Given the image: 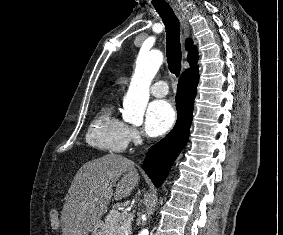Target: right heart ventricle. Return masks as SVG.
Returning <instances> with one entry per match:
<instances>
[{"label": "right heart ventricle", "mask_w": 283, "mask_h": 235, "mask_svg": "<svg viewBox=\"0 0 283 235\" xmlns=\"http://www.w3.org/2000/svg\"><path fill=\"white\" fill-rule=\"evenodd\" d=\"M127 125L117 115L114 103L103 106L86 135L87 143L107 153H121L128 145Z\"/></svg>", "instance_id": "e07e8e85"}]
</instances>
